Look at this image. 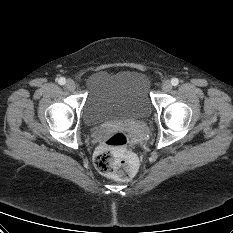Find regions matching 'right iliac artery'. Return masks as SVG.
<instances>
[{
	"instance_id": "82829eb1",
	"label": "right iliac artery",
	"mask_w": 233,
	"mask_h": 233,
	"mask_svg": "<svg viewBox=\"0 0 233 233\" xmlns=\"http://www.w3.org/2000/svg\"><path fill=\"white\" fill-rule=\"evenodd\" d=\"M58 83H59L60 85H64V84L66 83V79H65L64 77H60V78L58 79Z\"/></svg>"
}]
</instances>
